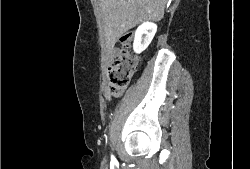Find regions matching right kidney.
<instances>
[{
	"label": "right kidney",
	"mask_w": 250,
	"mask_h": 169,
	"mask_svg": "<svg viewBox=\"0 0 250 169\" xmlns=\"http://www.w3.org/2000/svg\"><path fill=\"white\" fill-rule=\"evenodd\" d=\"M156 30L157 24H155V22H143V24H140V26H138L133 42V48L135 52H142V50H145V48H147Z\"/></svg>",
	"instance_id": "right-kidney-1"
}]
</instances>
